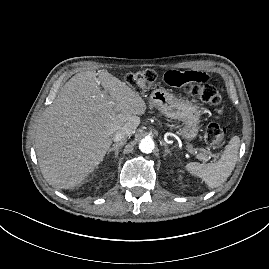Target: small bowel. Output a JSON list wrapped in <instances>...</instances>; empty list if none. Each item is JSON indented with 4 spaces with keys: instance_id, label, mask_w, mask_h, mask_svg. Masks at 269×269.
I'll list each match as a JSON object with an SVG mask.
<instances>
[{
    "instance_id": "small-bowel-1",
    "label": "small bowel",
    "mask_w": 269,
    "mask_h": 269,
    "mask_svg": "<svg viewBox=\"0 0 269 269\" xmlns=\"http://www.w3.org/2000/svg\"><path fill=\"white\" fill-rule=\"evenodd\" d=\"M160 81L161 84L166 87L172 86L173 84L181 87L188 81L200 83L204 86L213 83L212 78L207 75L205 71H183L182 73L179 71L164 72ZM195 97L198 99L197 96Z\"/></svg>"
}]
</instances>
